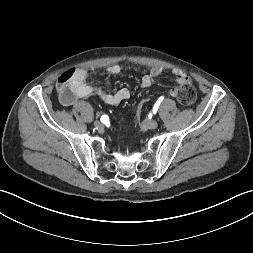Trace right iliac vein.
Here are the masks:
<instances>
[{"instance_id": "obj_1", "label": "right iliac vein", "mask_w": 253, "mask_h": 253, "mask_svg": "<svg viewBox=\"0 0 253 253\" xmlns=\"http://www.w3.org/2000/svg\"><path fill=\"white\" fill-rule=\"evenodd\" d=\"M94 126L97 128V129H100L103 127V124L100 122V121H95L94 122Z\"/></svg>"}]
</instances>
